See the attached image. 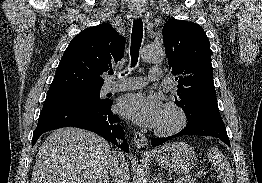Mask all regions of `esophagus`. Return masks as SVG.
Instances as JSON below:
<instances>
[{
    "label": "esophagus",
    "instance_id": "34e87169",
    "mask_svg": "<svg viewBox=\"0 0 262 183\" xmlns=\"http://www.w3.org/2000/svg\"><path fill=\"white\" fill-rule=\"evenodd\" d=\"M135 16H141V12H135ZM134 143L137 148H145L147 146V138L141 132H136L134 136Z\"/></svg>",
    "mask_w": 262,
    "mask_h": 183
}]
</instances>
